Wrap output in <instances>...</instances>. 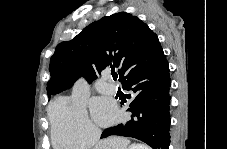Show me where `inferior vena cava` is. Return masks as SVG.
<instances>
[{"label":"inferior vena cava","instance_id":"1","mask_svg":"<svg viewBox=\"0 0 227 149\" xmlns=\"http://www.w3.org/2000/svg\"><path fill=\"white\" fill-rule=\"evenodd\" d=\"M99 135H100V133L98 132V133H97V135H96V138H98V137H99Z\"/></svg>","mask_w":227,"mask_h":149}]
</instances>
